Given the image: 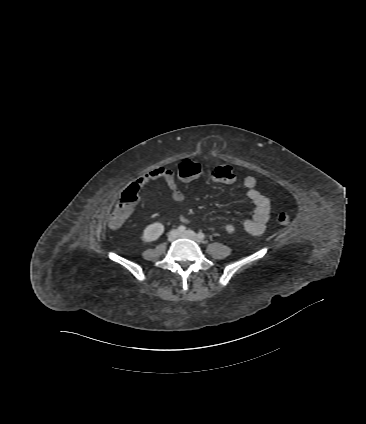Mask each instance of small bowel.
<instances>
[{
  "mask_svg": "<svg viewBox=\"0 0 366 424\" xmlns=\"http://www.w3.org/2000/svg\"><path fill=\"white\" fill-rule=\"evenodd\" d=\"M162 179L171 191L172 199L175 202H182L184 199L183 193L179 190L177 182L174 178L172 170L160 167L154 169L136 180L137 186H144L150 181ZM244 187L246 188V195L249 200L253 203L254 208L251 219L246 220L242 224V229L246 233L252 236L261 235L266 228V224L270 215V200L261 194L257 188V180L253 176H247L243 181Z\"/></svg>",
  "mask_w": 366,
  "mask_h": 424,
  "instance_id": "small-bowel-1",
  "label": "small bowel"
}]
</instances>
